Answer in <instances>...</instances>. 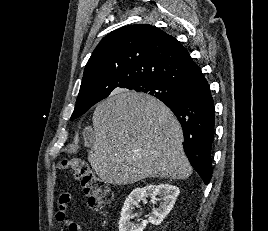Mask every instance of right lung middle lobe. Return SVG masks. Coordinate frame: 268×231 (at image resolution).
Returning <instances> with one entry per match:
<instances>
[{
    "instance_id": "1",
    "label": "right lung middle lobe",
    "mask_w": 268,
    "mask_h": 231,
    "mask_svg": "<svg viewBox=\"0 0 268 231\" xmlns=\"http://www.w3.org/2000/svg\"><path fill=\"white\" fill-rule=\"evenodd\" d=\"M130 90L150 94L160 100L177 98L181 93L180 89L157 81L144 82L134 86ZM93 105L94 103L92 104L76 103L74 112L70 120H74L80 117L85 112H87L89 108H91Z\"/></svg>"
}]
</instances>
